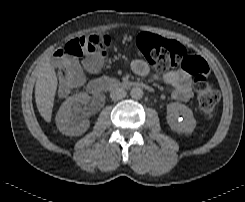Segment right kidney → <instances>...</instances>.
I'll return each mask as SVG.
<instances>
[{"label": "right kidney", "mask_w": 245, "mask_h": 202, "mask_svg": "<svg viewBox=\"0 0 245 202\" xmlns=\"http://www.w3.org/2000/svg\"><path fill=\"white\" fill-rule=\"evenodd\" d=\"M90 96L78 93L68 97L60 106L56 115V124L60 132L68 136H80L87 131L90 122L82 115L81 104H87Z\"/></svg>", "instance_id": "ca27d5eb"}]
</instances>
